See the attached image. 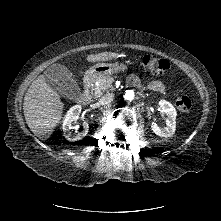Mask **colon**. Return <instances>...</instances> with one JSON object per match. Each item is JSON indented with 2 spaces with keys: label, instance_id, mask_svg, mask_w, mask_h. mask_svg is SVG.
Here are the masks:
<instances>
[{
  "label": "colon",
  "instance_id": "colon-1",
  "mask_svg": "<svg viewBox=\"0 0 221 221\" xmlns=\"http://www.w3.org/2000/svg\"><path fill=\"white\" fill-rule=\"evenodd\" d=\"M130 61L135 66L142 63L146 69L160 75L170 74L174 70V67L166 59H160L149 55L142 57L140 54L135 53L131 56ZM176 106L182 113H188L192 108L190 98L183 93L182 89H180L176 99Z\"/></svg>",
  "mask_w": 221,
  "mask_h": 221
}]
</instances>
